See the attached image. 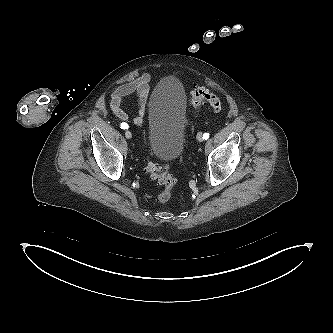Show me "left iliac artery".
<instances>
[{
    "label": "left iliac artery",
    "mask_w": 333,
    "mask_h": 333,
    "mask_svg": "<svg viewBox=\"0 0 333 333\" xmlns=\"http://www.w3.org/2000/svg\"><path fill=\"white\" fill-rule=\"evenodd\" d=\"M208 138H209V134H208V133H204V134H203V139H204V140H207Z\"/></svg>",
    "instance_id": "1"
}]
</instances>
